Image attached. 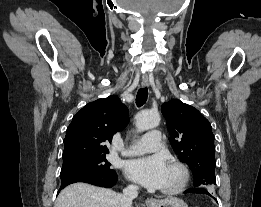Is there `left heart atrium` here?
Returning <instances> with one entry per match:
<instances>
[{
    "mask_svg": "<svg viewBox=\"0 0 261 207\" xmlns=\"http://www.w3.org/2000/svg\"><path fill=\"white\" fill-rule=\"evenodd\" d=\"M167 165L160 155L130 160L126 172L130 178L148 188H161Z\"/></svg>",
    "mask_w": 261,
    "mask_h": 207,
    "instance_id": "39dd6f15",
    "label": "left heart atrium"
}]
</instances>
